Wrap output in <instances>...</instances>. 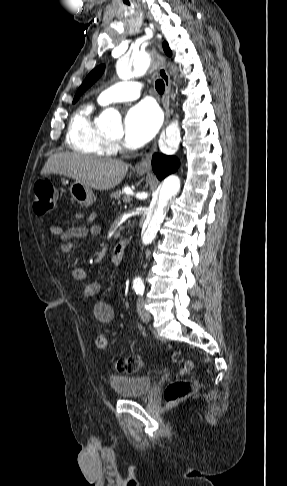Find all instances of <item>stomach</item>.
<instances>
[{
	"mask_svg": "<svg viewBox=\"0 0 287 486\" xmlns=\"http://www.w3.org/2000/svg\"><path fill=\"white\" fill-rule=\"evenodd\" d=\"M142 174V173H140ZM70 193L72 198L83 206H89L93 202V193L89 186L75 181L71 184Z\"/></svg>",
	"mask_w": 287,
	"mask_h": 486,
	"instance_id": "stomach-1",
	"label": "stomach"
}]
</instances>
